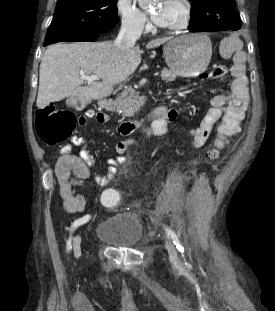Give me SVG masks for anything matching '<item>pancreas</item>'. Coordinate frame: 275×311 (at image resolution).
Listing matches in <instances>:
<instances>
[{
    "instance_id": "cf45deb5",
    "label": "pancreas",
    "mask_w": 275,
    "mask_h": 311,
    "mask_svg": "<svg viewBox=\"0 0 275 311\" xmlns=\"http://www.w3.org/2000/svg\"><path fill=\"white\" fill-rule=\"evenodd\" d=\"M161 77L163 80L170 82L174 81L177 75L167 68H163L161 71ZM113 107L115 108V111L122 114L123 117H131L140 108V96L133 88H125V90L121 92L113 102Z\"/></svg>"
}]
</instances>
